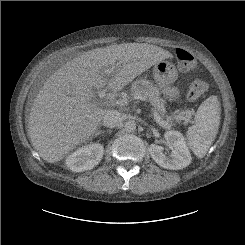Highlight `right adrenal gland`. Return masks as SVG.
<instances>
[{"label":"right adrenal gland","mask_w":245,"mask_h":245,"mask_svg":"<svg viewBox=\"0 0 245 245\" xmlns=\"http://www.w3.org/2000/svg\"><path fill=\"white\" fill-rule=\"evenodd\" d=\"M104 133L103 131H98L97 133H95V136H98L100 134Z\"/></svg>","instance_id":"2a0ac1e0"}]
</instances>
